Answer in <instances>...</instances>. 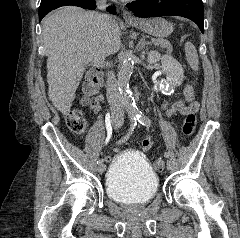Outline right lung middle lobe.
I'll list each match as a JSON object with an SVG mask.
<instances>
[{
	"mask_svg": "<svg viewBox=\"0 0 240 238\" xmlns=\"http://www.w3.org/2000/svg\"><path fill=\"white\" fill-rule=\"evenodd\" d=\"M57 0H41L39 13L45 11L50 5H52Z\"/></svg>",
	"mask_w": 240,
	"mask_h": 238,
	"instance_id": "obj_1",
	"label": "right lung middle lobe"
}]
</instances>
